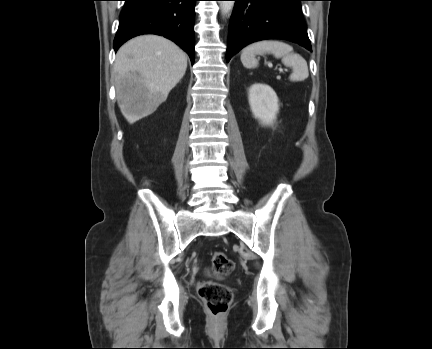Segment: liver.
Segmentation results:
<instances>
[{"instance_id": "obj_1", "label": "liver", "mask_w": 432, "mask_h": 349, "mask_svg": "<svg viewBox=\"0 0 432 349\" xmlns=\"http://www.w3.org/2000/svg\"><path fill=\"white\" fill-rule=\"evenodd\" d=\"M187 69L186 54L157 35H142L117 51L114 63L118 105L130 123L157 110Z\"/></svg>"}]
</instances>
